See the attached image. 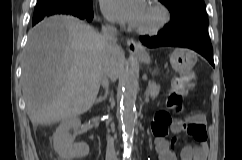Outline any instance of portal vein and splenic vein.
Masks as SVG:
<instances>
[{
  "label": "portal vein and splenic vein",
  "mask_w": 242,
  "mask_h": 160,
  "mask_svg": "<svg viewBox=\"0 0 242 160\" xmlns=\"http://www.w3.org/2000/svg\"><path fill=\"white\" fill-rule=\"evenodd\" d=\"M146 95H148V91H146Z\"/></svg>",
  "instance_id": "1"
}]
</instances>
